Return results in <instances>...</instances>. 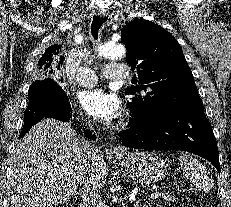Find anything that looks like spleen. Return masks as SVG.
<instances>
[{"instance_id": "spleen-1", "label": "spleen", "mask_w": 231, "mask_h": 207, "mask_svg": "<svg viewBox=\"0 0 231 207\" xmlns=\"http://www.w3.org/2000/svg\"><path fill=\"white\" fill-rule=\"evenodd\" d=\"M179 160L186 178L195 185L196 190L203 192L211 190L214 182L202 163L188 154L181 155Z\"/></svg>"}]
</instances>
